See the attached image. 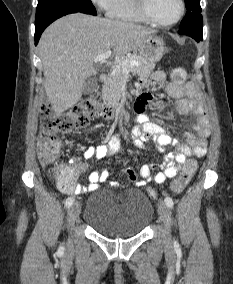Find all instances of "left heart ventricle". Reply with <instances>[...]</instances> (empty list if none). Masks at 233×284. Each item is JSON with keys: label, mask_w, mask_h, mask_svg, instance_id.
<instances>
[{"label": "left heart ventricle", "mask_w": 233, "mask_h": 284, "mask_svg": "<svg viewBox=\"0 0 233 284\" xmlns=\"http://www.w3.org/2000/svg\"><path fill=\"white\" fill-rule=\"evenodd\" d=\"M152 15L160 22L174 20L180 10L178 0H148Z\"/></svg>", "instance_id": "1"}]
</instances>
